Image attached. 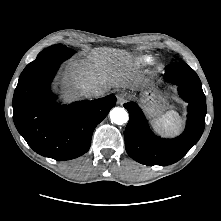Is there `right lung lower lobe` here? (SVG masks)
Returning a JSON list of instances; mask_svg holds the SVG:
<instances>
[{
  "label": "right lung lower lobe",
  "instance_id": "98d812e1",
  "mask_svg": "<svg viewBox=\"0 0 221 221\" xmlns=\"http://www.w3.org/2000/svg\"><path fill=\"white\" fill-rule=\"evenodd\" d=\"M73 50L45 49L19 77L13 97V118L18 132L38 154L64 161L86 153L95 127L116 104L108 95L92 101L61 106L50 92L60 64Z\"/></svg>",
  "mask_w": 221,
  "mask_h": 221
}]
</instances>
